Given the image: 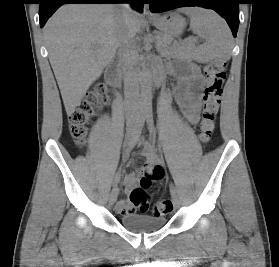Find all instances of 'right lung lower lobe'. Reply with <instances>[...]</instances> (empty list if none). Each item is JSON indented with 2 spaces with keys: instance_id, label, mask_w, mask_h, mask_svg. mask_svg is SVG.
Wrapping results in <instances>:
<instances>
[{
  "instance_id": "1",
  "label": "right lung lower lobe",
  "mask_w": 279,
  "mask_h": 267,
  "mask_svg": "<svg viewBox=\"0 0 279 267\" xmlns=\"http://www.w3.org/2000/svg\"><path fill=\"white\" fill-rule=\"evenodd\" d=\"M65 3H130L134 9L142 12L144 0H40V26L43 27L48 18Z\"/></svg>"
}]
</instances>
